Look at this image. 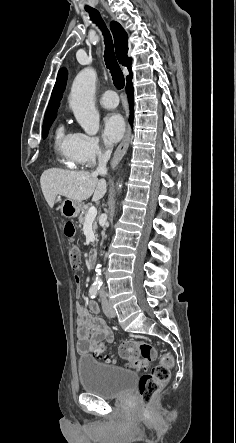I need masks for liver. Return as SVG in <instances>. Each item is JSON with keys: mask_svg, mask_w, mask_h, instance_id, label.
Returning <instances> with one entry per match:
<instances>
[{"mask_svg": "<svg viewBox=\"0 0 236 443\" xmlns=\"http://www.w3.org/2000/svg\"><path fill=\"white\" fill-rule=\"evenodd\" d=\"M41 189L50 208H53L58 195L82 202L92 196L99 201L107 191L104 179L98 180L97 174L86 171H70L51 168L40 178Z\"/></svg>", "mask_w": 236, "mask_h": 443, "instance_id": "obj_1", "label": "liver"}]
</instances>
